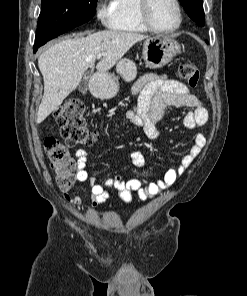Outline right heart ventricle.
I'll use <instances>...</instances> for the list:
<instances>
[{"label":"right heart ventricle","mask_w":247,"mask_h":296,"mask_svg":"<svg viewBox=\"0 0 247 296\" xmlns=\"http://www.w3.org/2000/svg\"><path fill=\"white\" fill-rule=\"evenodd\" d=\"M139 0H112L111 29L130 33H146L148 28L139 16Z\"/></svg>","instance_id":"right-heart-ventricle-1"}]
</instances>
